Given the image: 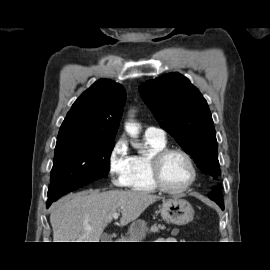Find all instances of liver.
Segmentation results:
<instances>
[{"label":"liver","mask_w":270,"mask_h":270,"mask_svg":"<svg viewBox=\"0 0 270 270\" xmlns=\"http://www.w3.org/2000/svg\"><path fill=\"white\" fill-rule=\"evenodd\" d=\"M160 197L140 191H83L57 202L50 214L53 242H99L103 230L121 211V225L136 220Z\"/></svg>","instance_id":"liver-1"}]
</instances>
